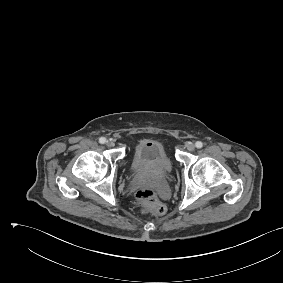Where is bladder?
<instances>
[{"label": "bladder", "mask_w": 283, "mask_h": 283, "mask_svg": "<svg viewBox=\"0 0 283 283\" xmlns=\"http://www.w3.org/2000/svg\"><path fill=\"white\" fill-rule=\"evenodd\" d=\"M172 169V162L165 146L152 139H142L132 153V170L135 175L161 177Z\"/></svg>", "instance_id": "bladder-1"}]
</instances>
